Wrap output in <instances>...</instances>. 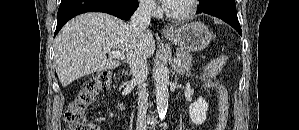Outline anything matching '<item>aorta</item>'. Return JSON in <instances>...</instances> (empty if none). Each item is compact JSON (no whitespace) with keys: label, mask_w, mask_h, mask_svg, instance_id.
<instances>
[{"label":"aorta","mask_w":299,"mask_h":130,"mask_svg":"<svg viewBox=\"0 0 299 130\" xmlns=\"http://www.w3.org/2000/svg\"><path fill=\"white\" fill-rule=\"evenodd\" d=\"M168 68L165 62L157 65L155 70L156 104L160 117H164L168 107Z\"/></svg>","instance_id":"aorta-1"}]
</instances>
